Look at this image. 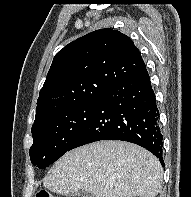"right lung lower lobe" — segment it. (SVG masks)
I'll return each instance as SVG.
<instances>
[{"mask_svg":"<svg viewBox=\"0 0 191 197\" xmlns=\"http://www.w3.org/2000/svg\"><path fill=\"white\" fill-rule=\"evenodd\" d=\"M99 140L135 143L153 153L164 166L159 110L146 69L101 94L93 115L69 150Z\"/></svg>","mask_w":191,"mask_h":197,"instance_id":"obj_1","label":"right lung lower lobe"}]
</instances>
